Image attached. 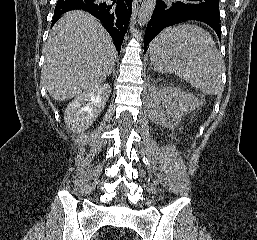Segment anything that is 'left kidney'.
Here are the masks:
<instances>
[{
	"label": "left kidney",
	"instance_id": "5707ae66",
	"mask_svg": "<svg viewBox=\"0 0 257 240\" xmlns=\"http://www.w3.org/2000/svg\"><path fill=\"white\" fill-rule=\"evenodd\" d=\"M198 99L179 88L160 87L155 89L150 105L151 119L166 127H174L181 117L197 108Z\"/></svg>",
	"mask_w": 257,
	"mask_h": 240
}]
</instances>
